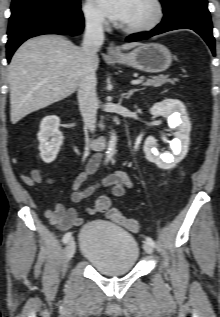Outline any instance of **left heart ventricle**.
<instances>
[{
	"label": "left heart ventricle",
	"instance_id": "obj_1",
	"mask_svg": "<svg viewBox=\"0 0 220 317\" xmlns=\"http://www.w3.org/2000/svg\"><path fill=\"white\" fill-rule=\"evenodd\" d=\"M154 15V7L150 0H132L128 17L123 23L132 26L149 21Z\"/></svg>",
	"mask_w": 220,
	"mask_h": 317
}]
</instances>
